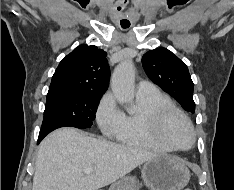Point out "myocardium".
Instances as JSON below:
<instances>
[{
  "label": "myocardium",
  "mask_w": 234,
  "mask_h": 190,
  "mask_svg": "<svg viewBox=\"0 0 234 190\" xmlns=\"http://www.w3.org/2000/svg\"><path fill=\"white\" fill-rule=\"evenodd\" d=\"M179 116L187 125L191 139L188 145L178 146L173 144L165 134V128L168 120L172 116ZM151 126L155 137L170 150L183 151L192 147L195 142L196 133L190 118L178 107L173 104H166L157 107L151 115Z\"/></svg>",
  "instance_id": "f54148a6"
}]
</instances>
